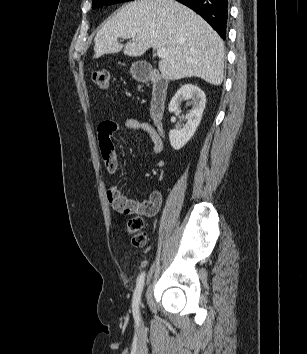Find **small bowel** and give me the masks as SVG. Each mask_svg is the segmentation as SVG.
I'll use <instances>...</instances> for the list:
<instances>
[{
    "label": "small bowel",
    "instance_id": "obj_1",
    "mask_svg": "<svg viewBox=\"0 0 307 354\" xmlns=\"http://www.w3.org/2000/svg\"><path fill=\"white\" fill-rule=\"evenodd\" d=\"M123 125L129 130H136L145 134L152 142V152L158 155L163 150V141L160 133L148 122L134 118H127ZM119 130V124L113 120H106L99 124L98 139L100 150L106 169L115 173L118 169V158L112 142V135ZM101 141L103 145H101ZM107 198L116 210H127L128 213L154 215L160 204L161 194L158 191L151 192L149 198L143 202H136L123 196L117 186H112L107 191Z\"/></svg>",
    "mask_w": 307,
    "mask_h": 354
}]
</instances>
